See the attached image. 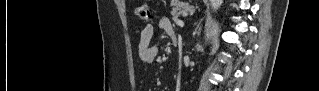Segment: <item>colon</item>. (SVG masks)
Instances as JSON below:
<instances>
[{"instance_id":"5ec220e1","label":"colon","mask_w":319,"mask_h":91,"mask_svg":"<svg viewBox=\"0 0 319 91\" xmlns=\"http://www.w3.org/2000/svg\"><path fill=\"white\" fill-rule=\"evenodd\" d=\"M136 15L139 19L146 21V22H149L152 20L150 8L146 4L139 5L136 8Z\"/></svg>"}]
</instances>
